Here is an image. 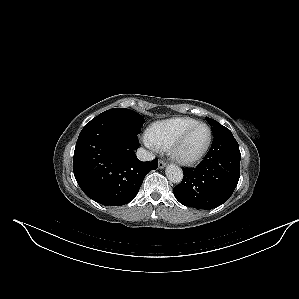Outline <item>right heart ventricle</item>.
<instances>
[{"label": "right heart ventricle", "mask_w": 299, "mask_h": 299, "mask_svg": "<svg viewBox=\"0 0 299 299\" xmlns=\"http://www.w3.org/2000/svg\"><path fill=\"white\" fill-rule=\"evenodd\" d=\"M197 121L188 117H174L153 123L148 129V139L158 148H169L174 140Z\"/></svg>", "instance_id": "right-heart-ventricle-1"}]
</instances>
